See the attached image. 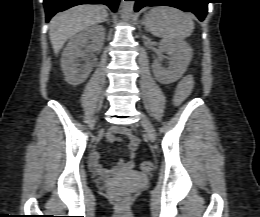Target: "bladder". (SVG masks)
Masks as SVG:
<instances>
[{
	"mask_svg": "<svg viewBox=\"0 0 260 217\" xmlns=\"http://www.w3.org/2000/svg\"><path fill=\"white\" fill-rule=\"evenodd\" d=\"M130 177H134V178H138V179H144V178H145L144 175H141V174L136 173V172H132V173L130 174Z\"/></svg>",
	"mask_w": 260,
	"mask_h": 217,
	"instance_id": "1",
	"label": "bladder"
}]
</instances>
